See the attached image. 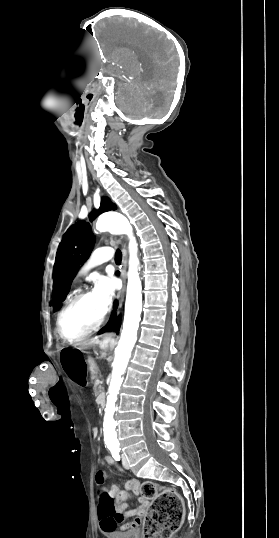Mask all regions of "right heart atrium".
<instances>
[{
	"mask_svg": "<svg viewBox=\"0 0 279 538\" xmlns=\"http://www.w3.org/2000/svg\"><path fill=\"white\" fill-rule=\"evenodd\" d=\"M109 233L115 235V234H117V230H115V229L112 228V229L109 230ZM54 236H55V238H58V237H59V234H58V233H55Z\"/></svg>",
	"mask_w": 279,
	"mask_h": 538,
	"instance_id": "right-heart-atrium-1",
	"label": "right heart atrium"
}]
</instances>
